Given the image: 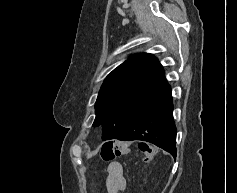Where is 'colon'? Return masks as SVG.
<instances>
[{
	"label": "colon",
	"mask_w": 237,
	"mask_h": 193,
	"mask_svg": "<svg viewBox=\"0 0 237 193\" xmlns=\"http://www.w3.org/2000/svg\"><path fill=\"white\" fill-rule=\"evenodd\" d=\"M143 158L145 161L152 160L154 156V151L150 146L147 144H140L139 146ZM128 152V144L125 142H107L102 146L100 155L101 158L106 161L110 162L114 160L117 156L123 155Z\"/></svg>",
	"instance_id": "5ec220e1"
}]
</instances>
